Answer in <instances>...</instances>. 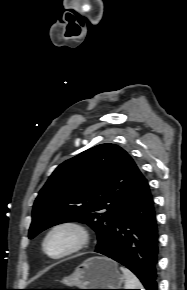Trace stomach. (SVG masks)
<instances>
[{"instance_id": "obj_1", "label": "stomach", "mask_w": 187, "mask_h": 290, "mask_svg": "<svg viewBox=\"0 0 187 290\" xmlns=\"http://www.w3.org/2000/svg\"><path fill=\"white\" fill-rule=\"evenodd\" d=\"M123 282L117 263L101 256L86 259L63 279L65 285L78 289H120Z\"/></svg>"}]
</instances>
